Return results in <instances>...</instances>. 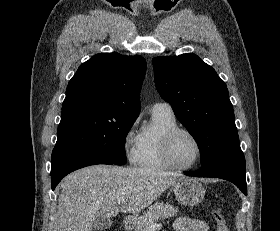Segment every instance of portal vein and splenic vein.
I'll use <instances>...</instances> for the list:
<instances>
[{
  "mask_svg": "<svg viewBox=\"0 0 280 231\" xmlns=\"http://www.w3.org/2000/svg\"><path fill=\"white\" fill-rule=\"evenodd\" d=\"M125 199H118V203H124ZM161 227V223H152V225H150V231H153V229H160Z\"/></svg>",
  "mask_w": 280,
  "mask_h": 231,
  "instance_id": "portal-vein-and-splenic-vein-1",
  "label": "portal vein and splenic vein"
}]
</instances>
